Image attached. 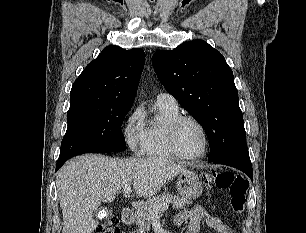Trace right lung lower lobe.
Here are the masks:
<instances>
[{
	"instance_id": "98d812e1",
	"label": "right lung lower lobe",
	"mask_w": 306,
	"mask_h": 233,
	"mask_svg": "<svg viewBox=\"0 0 306 233\" xmlns=\"http://www.w3.org/2000/svg\"><path fill=\"white\" fill-rule=\"evenodd\" d=\"M68 160V159H67ZM67 160H63V161H58L56 164V171L67 161Z\"/></svg>"
}]
</instances>
